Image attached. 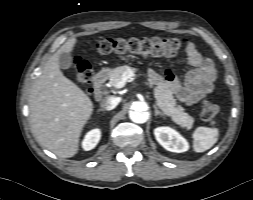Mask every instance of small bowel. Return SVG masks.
Listing matches in <instances>:
<instances>
[{
  "label": "small bowel",
  "mask_w": 253,
  "mask_h": 200,
  "mask_svg": "<svg viewBox=\"0 0 253 200\" xmlns=\"http://www.w3.org/2000/svg\"><path fill=\"white\" fill-rule=\"evenodd\" d=\"M190 68L185 84L180 83L172 74L167 78L173 82L179 99L185 103H194L209 95L214 90L216 70L211 59L204 57L197 48L190 44L188 47V62Z\"/></svg>",
  "instance_id": "small-bowel-1"
}]
</instances>
